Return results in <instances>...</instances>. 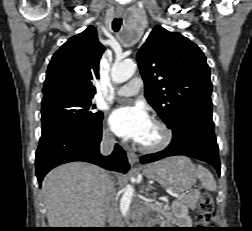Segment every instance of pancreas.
I'll return each mask as SVG.
<instances>
[{
    "mask_svg": "<svg viewBox=\"0 0 252 231\" xmlns=\"http://www.w3.org/2000/svg\"><path fill=\"white\" fill-rule=\"evenodd\" d=\"M201 193L199 191H195L193 193H190L188 195H185L184 197L180 198V202L184 204L185 206L195 209L196 204L200 198Z\"/></svg>",
    "mask_w": 252,
    "mask_h": 231,
    "instance_id": "obj_1",
    "label": "pancreas"
}]
</instances>
